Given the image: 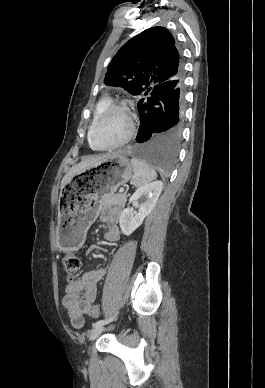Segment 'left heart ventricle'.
Here are the masks:
<instances>
[{
  "mask_svg": "<svg viewBox=\"0 0 265 388\" xmlns=\"http://www.w3.org/2000/svg\"><path fill=\"white\" fill-rule=\"evenodd\" d=\"M127 130V116L118 110H111L99 122L96 138L101 144L111 145L121 140Z\"/></svg>",
  "mask_w": 265,
  "mask_h": 388,
  "instance_id": "1",
  "label": "left heart ventricle"
}]
</instances>
